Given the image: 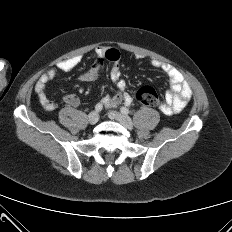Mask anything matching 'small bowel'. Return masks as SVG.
<instances>
[{"mask_svg": "<svg viewBox=\"0 0 232 232\" xmlns=\"http://www.w3.org/2000/svg\"><path fill=\"white\" fill-rule=\"evenodd\" d=\"M95 54L96 57L91 67L82 72L78 76V79L82 82L96 81L104 68L105 62L109 61L112 63L110 79L115 84L116 91L112 95H105L102 102L109 108L117 107L121 103L130 105L132 103V97L126 92V81L122 78L121 69L119 67V52L114 48L100 46L96 48ZM80 62L81 57L74 56L58 62L54 68L41 75L35 85V92L45 110L52 111L56 108L55 102L49 99L46 94L45 88L47 83L53 80L59 71H71L75 69ZM150 64L153 68L165 73L170 82L171 88L165 94L164 101L159 106L160 111L165 115L181 112L192 96L190 85L185 81L183 75L170 64L158 59H152ZM64 102L70 107H76L79 104V99L75 94H68L64 97Z\"/></svg>", "mask_w": 232, "mask_h": 232, "instance_id": "obj_1", "label": "small bowel"}]
</instances>
